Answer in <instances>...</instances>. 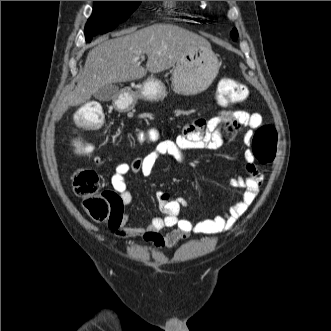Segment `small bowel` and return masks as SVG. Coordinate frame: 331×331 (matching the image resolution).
<instances>
[{"instance_id": "obj_1", "label": "small bowel", "mask_w": 331, "mask_h": 331, "mask_svg": "<svg viewBox=\"0 0 331 331\" xmlns=\"http://www.w3.org/2000/svg\"><path fill=\"white\" fill-rule=\"evenodd\" d=\"M261 124L260 114L242 110H222L210 119L197 118L183 126L182 133L175 141L162 140L147 155L137 157L130 163L118 164L111 176L112 188L119 196L122 205H129L132 202V194L128 190L126 181L129 173L141 172L147 177L158 159L163 156H170L184 164L187 162L186 150H217L221 147L224 137L231 135L240 127L247 128L244 141L250 144L253 130ZM244 158L248 175L233 176L229 179L232 187L242 189L243 192L240 198L222 214L193 223L180 217L181 210L187 206L185 199L172 200L168 193L159 192L157 200L164 216L154 217L148 223H132L128 215H122L115 228L116 235L124 239L142 238L160 249L173 248L191 234H218L231 229L254 202L263 180L262 174L254 164L252 151L246 150ZM165 228L172 230L164 235L160 234Z\"/></svg>"}]
</instances>
